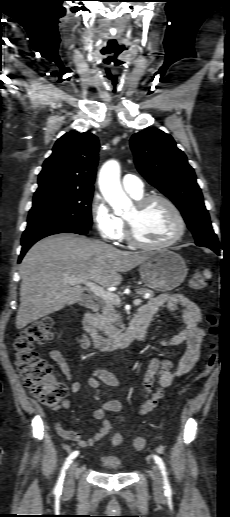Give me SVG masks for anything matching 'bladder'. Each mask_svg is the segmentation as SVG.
<instances>
[{
	"label": "bladder",
	"instance_id": "1",
	"mask_svg": "<svg viewBox=\"0 0 230 517\" xmlns=\"http://www.w3.org/2000/svg\"><path fill=\"white\" fill-rule=\"evenodd\" d=\"M100 463L103 468L110 471L118 472L122 468V463L118 459L107 455L101 457Z\"/></svg>",
	"mask_w": 230,
	"mask_h": 517
}]
</instances>
